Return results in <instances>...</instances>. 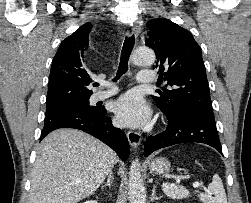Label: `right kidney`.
Masks as SVG:
<instances>
[{
  "mask_svg": "<svg viewBox=\"0 0 251 203\" xmlns=\"http://www.w3.org/2000/svg\"><path fill=\"white\" fill-rule=\"evenodd\" d=\"M84 203H97L96 201H86V202H84Z\"/></svg>",
  "mask_w": 251,
  "mask_h": 203,
  "instance_id": "1",
  "label": "right kidney"
}]
</instances>
